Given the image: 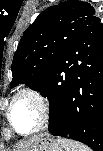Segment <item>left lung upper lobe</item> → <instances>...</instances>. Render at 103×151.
<instances>
[{
	"label": "left lung upper lobe",
	"instance_id": "1",
	"mask_svg": "<svg viewBox=\"0 0 103 151\" xmlns=\"http://www.w3.org/2000/svg\"><path fill=\"white\" fill-rule=\"evenodd\" d=\"M100 23L94 7L80 0H67L44 10L29 26L12 61L14 88L25 83L39 90L49 80L68 49L91 25Z\"/></svg>",
	"mask_w": 103,
	"mask_h": 151
}]
</instances>
